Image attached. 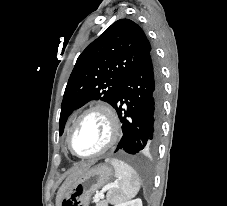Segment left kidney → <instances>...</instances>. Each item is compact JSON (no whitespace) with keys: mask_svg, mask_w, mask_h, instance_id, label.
Here are the masks:
<instances>
[{"mask_svg":"<svg viewBox=\"0 0 227 206\" xmlns=\"http://www.w3.org/2000/svg\"><path fill=\"white\" fill-rule=\"evenodd\" d=\"M115 206H142L141 199H134L123 203L116 204Z\"/></svg>","mask_w":227,"mask_h":206,"instance_id":"1","label":"left kidney"}]
</instances>
